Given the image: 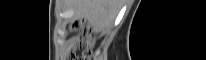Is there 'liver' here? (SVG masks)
<instances>
[{
  "label": "liver",
  "instance_id": "6515ba94",
  "mask_svg": "<svg viewBox=\"0 0 206 60\" xmlns=\"http://www.w3.org/2000/svg\"><path fill=\"white\" fill-rule=\"evenodd\" d=\"M75 19H84L97 30L109 27L116 18L121 0H69Z\"/></svg>",
  "mask_w": 206,
  "mask_h": 60
}]
</instances>
